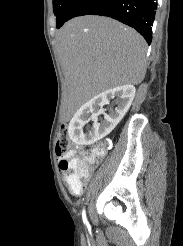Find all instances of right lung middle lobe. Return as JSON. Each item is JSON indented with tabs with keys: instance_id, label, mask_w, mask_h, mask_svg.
I'll use <instances>...</instances> for the list:
<instances>
[{
	"instance_id": "dd1d6c3e",
	"label": "right lung middle lobe",
	"mask_w": 183,
	"mask_h": 246,
	"mask_svg": "<svg viewBox=\"0 0 183 246\" xmlns=\"http://www.w3.org/2000/svg\"><path fill=\"white\" fill-rule=\"evenodd\" d=\"M79 0H53V11L57 25L65 22Z\"/></svg>"
}]
</instances>
